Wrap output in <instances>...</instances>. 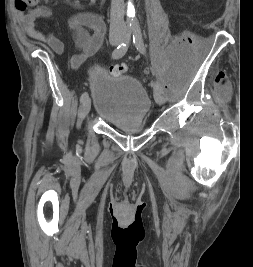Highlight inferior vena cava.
Segmentation results:
<instances>
[{
  "mask_svg": "<svg viewBox=\"0 0 253 267\" xmlns=\"http://www.w3.org/2000/svg\"><path fill=\"white\" fill-rule=\"evenodd\" d=\"M111 2L110 30H116V28H125V22L123 18L124 0H111Z\"/></svg>",
  "mask_w": 253,
  "mask_h": 267,
  "instance_id": "602c4592",
  "label": "inferior vena cava"
}]
</instances>
